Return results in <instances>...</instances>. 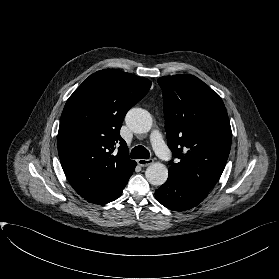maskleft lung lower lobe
Returning a JSON list of instances; mask_svg holds the SVG:
<instances>
[{
  "label": "left lung lower lobe",
  "mask_w": 279,
  "mask_h": 279,
  "mask_svg": "<svg viewBox=\"0 0 279 279\" xmlns=\"http://www.w3.org/2000/svg\"><path fill=\"white\" fill-rule=\"evenodd\" d=\"M208 192L169 173L167 181L155 191V196L166 208L185 211L198 205L208 195Z\"/></svg>",
  "instance_id": "obj_1"
}]
</instances>
